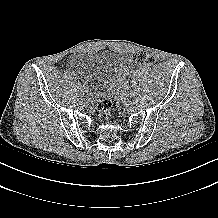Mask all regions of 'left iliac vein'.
<instances>
[{"mask_svg":"<svg viewBox=\"0 0 218 218\" xmlns=\"http://www.w3.org/2000/svg\"><path fill=\"white\" fill-rule=\"evenodd\" d=\"M128 105H129V106H132V105H133V100H132L131 98L128 100Z\"/></svg>","mask_w":218,"mask_h":218,"instance_id":"1","label":"left iliac vein"}]
</instances>
